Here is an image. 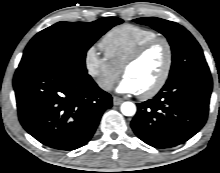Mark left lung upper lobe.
I'll use <instances>...</instances> for the list:
<instances>
[{
    "label": "left lung upper lobe",
    "instance_id": "1",
    "mask_svg": "<svg viewBox=\"0 0 220 173\" xmlns=\"http://www.w3.org/2000/svg\"><path fill=\"white\" fill-rule=\"evenodd\" d=\"M135 22L151 26L168 39L172 49V66L166 84L186 77L210 75L200 45L183 26L156 17L138 18Z\"/></svg>",
    "mask_w": 220,
    "mask_h": 173
}]
</instances>
